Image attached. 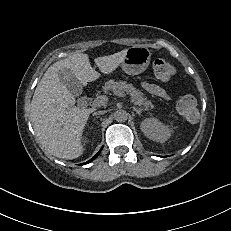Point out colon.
<instances>
[{"label": "colon", "instance_id": "5ec220e1", "mask_svg": "<svg viewBox=\"0 0 231 231\" xmlns=\"http://www.w3.org/2000/svg\"><path fill=\"white\" fill-rule=\"evenodd\" d=\"M176 71L175 65L164 59H156L153 62L154 75L160 81H169L175 76ZM177 110L181 116L189 121H194L198 117L197 102L192 95L182 96L178 100Z\"/></svg>", "mask_w": 231, "mask_h": 231}]
</instances>
